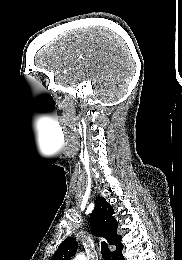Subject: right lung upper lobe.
Masks as SVG:
<instances>
[{"mask_svg": "<svg viewBox=\"0 0 182 260\" xmlns=\"http://www.w3.org/2000/svg\"><path fill=\"white\" fill-rule=\"evenodd\" d=\"M113 207L104 197L96 199L95 208L90 214V226L95 236H103L110 245H115L116 250L112 255L120 252L123 245L120 243L122 236L117 235L118 222L112 217ZM77 241L73 238L65 239L52 256L51 260H70L77 251Z\"/></svg>", "mask_w": 182, "mask_h": 260, "instance_id": "right-lung-upper-lobe-1", "label": "right lung upper lobe"}]
</instances>
